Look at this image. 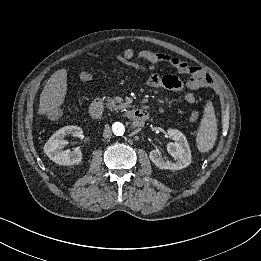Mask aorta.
<instances>
[{"mask_svg": "<svg viewBox=\"0 0 261 261\" xmlns=\"http://www.w3.org/2000/svg\"><path fill=\"white\" fill-rule=\"evenodd\" d=\"M115 135L121 136L125 132V126L121 122H115L112 126Z\"/></svg>", "mask_w": 261, "mask_h": 261, "instance_id": "762f6f07", "label": "aorta"}]
</instances>
